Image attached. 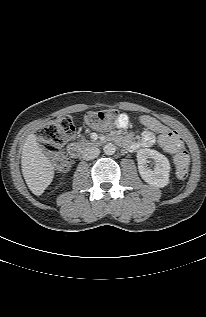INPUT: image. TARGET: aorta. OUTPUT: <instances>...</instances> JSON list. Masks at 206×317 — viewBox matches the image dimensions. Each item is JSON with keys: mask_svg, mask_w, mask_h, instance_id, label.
Returning <instances> with one entry per match:
<instances>
[{"mask_svg": "<svg viewBox=\"0 0 206 317\" xmlns=\"http://www.w3.org/2000/svg\"><path fill=\"white\" fill-rule=\"evenodd\" d=\"M103 151L106 155H113L116 151V146L112 143H108L104 146Z\"/></svg>", "mask_w": 206, "mask_h": 317, "instance_id": "aorta-1", "label": "aorta"}]
</instances>
